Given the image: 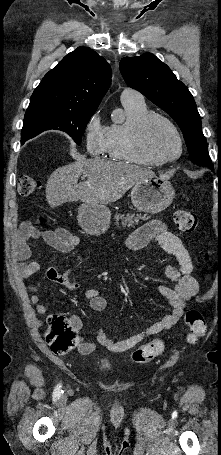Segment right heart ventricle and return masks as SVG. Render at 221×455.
Listing matches in <instances>:
<instances>
[{
	"mask_svg": "<svg viewBox=\"0 0 221 455\" xmlns=\"http://www.w3.org/2000/svg\"><path fill=\"white\" fill-rule=\"evenodd\" d=\"M127 118L124 123L112 124L108 127L105 153L112 160L131 163L154 164L146 156L139 153L132 143V132L135 124L149 114L145 103L122 102Z\"/></svg>",
	"mask_w": 221,
	"mask_h": 455,
	"instance_id": "e07e8e85",
	"label": "right heart ventricle"
}]
</instances>
